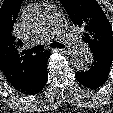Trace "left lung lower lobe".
I'll list each match as a JSON object with an SVG mask.
<instances>
[{
  "label": "left lung lower lobe",
  "mask_w": 113,
  "mask_h": 113,
  "mask_svg": "<svg viewBox=\"0 0 113 113\" xmlns=\"http://www.w3.org/2000/svg\"><path fill=\"white\" fill-rule=\"evenodd\" d=\"M93 59V65L89 70L76 72V79L83 86L96 89L107 81L113 59L99 54H93Z\"/></svg>",
  "instance_id": "1"
}]
</instances>
